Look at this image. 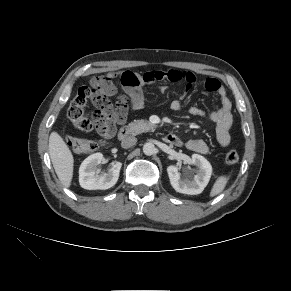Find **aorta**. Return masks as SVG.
Segmentation results:
<instances>
[{
  "instance_id": "obj_1",
  "label": "aorta",
  "mask_w": 291,
  "mask_h": 291,
  "mask_svg": "<svg viewBox=\"0 0 291 291\" xmlns=\"http://www.w3.org/2000/svg\"><path fill=\"white\" fill-rule=\"evenodd\" d=\"M155 150L156 148L153 143L148 142L145 143L143 146V152L147 156L153 155L155 153Z\"/></svg>"
}]
</instances>
